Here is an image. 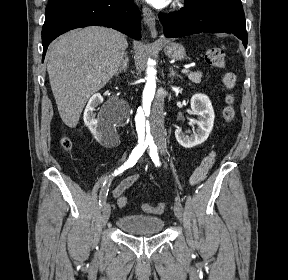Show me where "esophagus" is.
<instances>
[{
    "label": "esophagus",
    "instance_id": "esophagus-1",
    "mask_svg": "<svg viewBox=\"0 0 288 280\" xmlns=\"http://www.w3.org/2000/svg\"><path fill=\"white\" fill-rule=\"evenodd\" d=\"M142 13H143L144 21L147 24L152 36L156 37L157 36L156 16L154 12L150 8L144 6L142 8Z\"/></svg>",
    "mask_w": 288,
    "mask_h": 280
}]
</instances>
